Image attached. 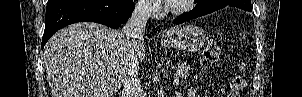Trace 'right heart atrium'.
Returning <instances> with one entry per match:
<instances>
[{"mask_svg": "<svg viewBox=\"0 0 302 97\" xmlns=\"http://www.w3.org/2000/svg\"><path fill=\"white\" fill-rule=\"evenodd\" d=\"M155 7L152 6L150 3L148 2H141L139 5V10L146 15H151L154 11Z\"/></svg>", "mask_w": 302, "mask_h": 97, "instance_id": "d8ad5b80", "label": "right heart atrium"}]
</instances>
